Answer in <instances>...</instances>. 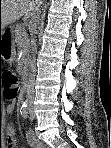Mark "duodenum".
Listing matches in <instances>:
<instances>
[{
	"mask_svg": "<svg viewBox=\"0 0 111 148\" xmlns=\"http://www.w3.org/2000/svg\"><path fill=\"white\" fill-rule=\"evenodd\" d=\"M27 86H28V81H27V76H25L23 81V88L26 90Z\"/></svg>",
	"mask_w": 111,
	"mask_h": 148,
	"instance_id": "1",
	"label": "duodenum"
}]
</instances>
